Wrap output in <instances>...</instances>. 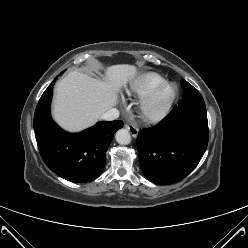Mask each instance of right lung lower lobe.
I'll list each match as a JSON object with an SVG mask.
<instances>
[{"label":"right lung lower lobe","mask_w":248,"mask_h":248,"mask_svg":"<svg viewBox=\"0 0 248 248\" xmlns=\"http://www.w3.org/2000/svg\"><path fill=\"white\" fill-rule=\"evenodd\" d=\"M54 82L41 96L34 115L39 152L46 165L60 177L77 183L97 178L105 166L106 151L122 121H101L80 133L62 130L51 118Z\"/></svg>","instance_id":"1"}]
</instances>
